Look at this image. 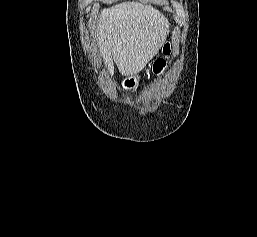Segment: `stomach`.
<instances>
[{
    "label": "stomach",
    "instance_id": "0dacf381",
    "mask_svg": "<svg viewBox=\"0 0 257 237\" xmlns=\"http://www.w3.org/2000/svg\"><path fill=\"white\" fill-rule=\"evenodd\" d=\"M138 84H139V77L137 74L125 77L121 82L122 88L126 91L136 89Z\"/></svg>",
    "mask_w": 257,
    "mask_h": 237
}]
</instances>
